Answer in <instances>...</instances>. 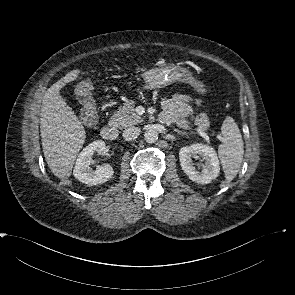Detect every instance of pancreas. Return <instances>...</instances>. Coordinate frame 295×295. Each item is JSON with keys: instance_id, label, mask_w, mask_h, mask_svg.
Wrapping results in <instances>:
<instances>
[{"instance_id": "cf45deb5", "label": "pancreas", "mask_w": 295, "mask_h": 295, "mask_svg": "<svg viewBox=\"0 0 295 295\" xmlns=\"http://www.w3.org/2000/svg\"><path fill=\"white\" fill-rule=\"evenodd\" d=\"M135 103L130 102L125 106L121 107L116 111L111 117L110 124L119 128H126L128 126H133L141 123L142 118L136 114L134 109ZM194 124L198 126L199 129L205 131L209 128L210 121L206 113H200L196 117L192 116Z\"/></svg>"}]
</instances>
